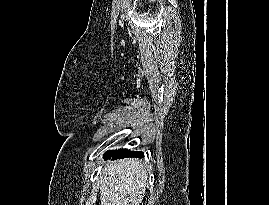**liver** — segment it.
Segmentation results:
<instances>
[{
	"label": "liver",
	"mask_w": 269,
	"mask_h": 205,
	"mask_svg": "<svg viewBox=\"0 0 269 205\" xmlns=\"http://www.w3.org/2000/svg\"><path fill=\"white\" fill-rule=\"evenodd\" d=\"M148 174L138 159L114 161L102 172L101 205H139L144 197Z\"/></svg>",
	"instance_id": "6515ba94"
}]
</instances>
